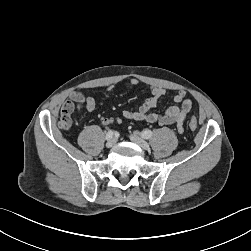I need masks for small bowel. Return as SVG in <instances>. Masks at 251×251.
<instances>
[{
    "mask_svg": "<svg viewBox=\"0 0 251 251\" xmlns=\"http://www.w3.org/2000/svg\"><path fill=\"white\" fill-rule=\"evenodd\" d=\"M139 81L136 78H130L128 84L130 86L139 85ZM150 91L151 96L146 99V101L136 110H125L122 112V118L136 121H145L148 123H158L159 125H171L176 124L179 132L184 131L185 120L192 109V101L186 98V92L179 90L173 96V100L177 105L169 107L163 114L152 112L151 110L155 108L159 102V99L166 94V89L153 86L145 85ZM113 86L106 89V92L113 90ZM97 92H91L86 97H84L80 92L74 91L70 95L71 101H67L66 104H72V101L83 102L85 108L88 112H92L96 108V101L94 95ZM121 117L111 116L101 118L102 125H110L113 123H120L122 121Z\"/></svg>",
    "mask_w": 251,
    "mask_h": 251,
    "instance_id": "c3829d8e",
    "label": "small bowel"
}]
</instances>
